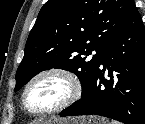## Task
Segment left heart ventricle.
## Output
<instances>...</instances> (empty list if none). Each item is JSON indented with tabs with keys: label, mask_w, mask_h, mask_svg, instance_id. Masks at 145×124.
<instances>
[{
	"label": "left heart ventricle",
	"mask_w": 145,
	"mask_h": 124,
	"mask_svg": "<svg viewBox=\"0 0 145 124\" xmlns=\"http://www.w3.org/2000/svg\"><path fill=\"white\" fill-rule=\"evenodd\" d=\"M67 91V85L62 79L46 78L30 89L27 94V103L32 109H45L60 102L66 96Z\"/></svg>",
	"instance_id": "obj_1"
}]
</instances>
